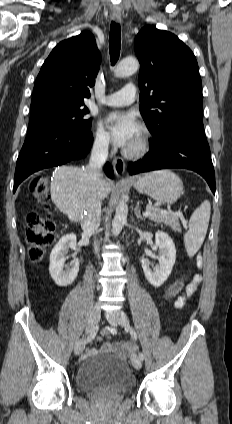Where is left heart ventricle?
<instances>
[{"instance_id":"1","label":"left heart ventricle","mask_w":232,"mask_h":424,"mask_svg":"<svg viewBox=\"0 0 232 424\" xmlns=\"http://www.w3.org/2000/svg\"><path fill=\"white\" fill-rule=\"evenodd\" d=\"M139 137H140V133H139V135L132 141V143L129 145V146H133V145H135L136 143H137V141H138V139H139Z\"/></svg>"}]
</instances>
